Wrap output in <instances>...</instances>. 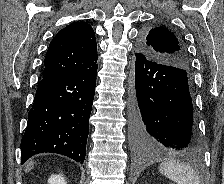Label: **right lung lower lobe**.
<instances>
[{"label": "right lung lower lobe", "instance_id": "obj_1", "mask_svg": "<svg viewBox=\"0 0 224 184\" xmlns=\"http://www.w3.org/2000/svg\"><path fill=\"white\" fill-rule=\"evenodd\" d=\"M97 66L39 82L21 141L22 164L47 152L84 162Z\"/></svg>", "mask_w": 224, "mask_h": 184}]
</instances>
